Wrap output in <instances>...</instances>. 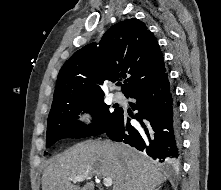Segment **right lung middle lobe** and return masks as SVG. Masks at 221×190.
Wrapping results in <instances>:
<instances>
[{"instance_id":"1","label":"right lung middle lobe","mask_w":221,"mask_h":190,"mask_svg":"<svg viewBox=\"0 0 221 190\" xmlns=\"http://www.w3.org/2000/svg\"><path fill=\"white\" fill-rule=\"evenodd\" d=\"M109 107L103 98L52 106L48 116L46 147L62 138H84L105 133L122 111L121 108L110 111ZM83 110L94 117L92 124L83 125L77 120Z\"/></svg>"}]
</instances>
